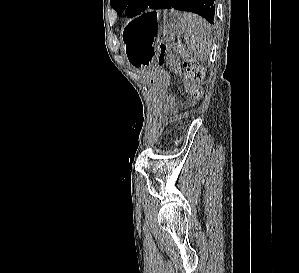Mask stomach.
<instances>
[{
  "mask_svg": "<svg viewBox=\"0 0 299 273\" xmlns=\"http://www.w3.org/2000/svg\"><path fill=\"white\" fill-rule=\"evenodd\" d=\"M180 14L175 10L150 11L128 22L121 33L122 52L140 74H166L157 69L159 41H172L183 34Z\"/></svg>",
  "mask_w": 299,
  "mask_h": 273,
  "instance_id": "stomach-1",
  "label": "stomach"
}]
</instances>
